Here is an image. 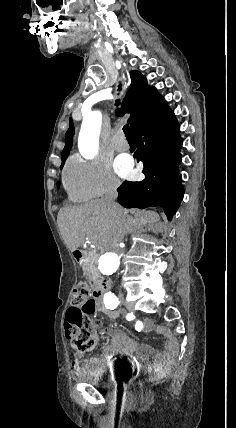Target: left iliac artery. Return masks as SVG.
Listing matches in <instances>:
<instances>
[{
    "label": "left iliac artery",
    "instance_id": "left-iliac-artery-1",
    "mask_svg": "<svg viewBox=\"0 0 236 428\" xmlns=\"http://www.w3.org/2000/svg\"><path fill=\"white\" fill-rule=\"evenodd\" d=\"M103 300L105 307L111 310H114L120 303L118 298L111 292L106 293Z\"/></svg>",
    "mask_w": 236,
    "mask_h": 428
}]
</instances>
